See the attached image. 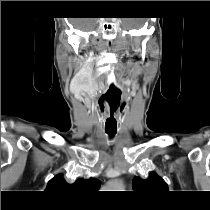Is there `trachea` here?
Masks as SVG:
<instances>
[{
  "instance_id": "obj_1",
  "label": "trachea",
  "mask_w": 210,
  "mask_h": 210,
  "mask_svg": "<svg viewBox=\"0 0 210 210\" xmlns=\"http://www.w3.org/2000/svg\"><path fill=\"white\" fill-rule=\"evenodd\" d=\"M107 134H108L110 137H113V136L116 134V132H115V131L109 130V131H107Z\"/></svg>"
}]
</instances>
